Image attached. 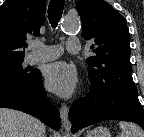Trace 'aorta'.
Returning a JSON list of instances; mask_svg holds the SVG:
<instances>
[{"mask_svg": "<svg viewBox=\"0 0 144 137\" xmlns=\"http://www.w3.org/2000/svg\"><path fill=\"white\" fill-rule=\"evenodd\" d=\"M80 28V23L76 19L66 18L61 23V29L66 32H76Z\"/></svg>", "mask_w": 144, "mask_h": 137, "instance_id": "762f6f07", "label": "aorta"}]
</instances>
